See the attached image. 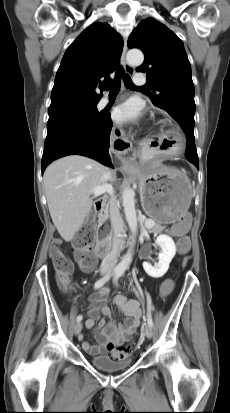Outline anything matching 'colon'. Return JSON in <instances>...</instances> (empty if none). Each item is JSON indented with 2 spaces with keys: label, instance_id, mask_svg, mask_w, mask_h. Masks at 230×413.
Masks as SVG:
<instances>
[{
  "label": "colon",
  "instance_id": "5ec220e1",
  "mask_svg": "<svg viewBox=\"0 0 230 413\" xmlns=\"http://www.w3.org/2000/svg\"><path fill=\"white\" fill-rule=\"evenodd\" d=\"M190 224L188 215H182L174 224V227L181 232L179 236V244L177 256L184 258L186 251L192 246V241L188 235H184ZM95 240L94 225L89 222L82 228L74 241V248L76 249V257L83 267H91L95 264V258L90 251V248ZM50 258L52 260L59 283L65 290L71 288L70 275L73 270L71 261L65 256L58 244H54L50 249ZM161 296H167L171 290H174L175 284L173 278H164L160 284ZM127 353L131 352V346L124 348Z\"/></svg>",
  "mask_w": 230,
  "mask_h": 413
}]
</instances>
